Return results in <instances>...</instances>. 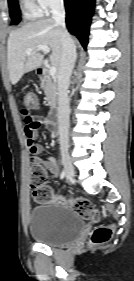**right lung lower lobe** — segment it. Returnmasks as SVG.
<instances>
[{
  "instance_id": "right-lung-lower-lobe-1",
  "label": "right lung lower lobe",
  "mask_w": 134,
  "mask_h": 281,
  "mask_svg": "<svg viewBox=\"0 0 134 281\" xmlns=\"http://www.w3.org/2000/svg\"><path fill=\"white\" fill-rule=\"evenodd\" d=\"M64 2L68 30L78 37L86 49L95 0H64Z\"/></svg>"
}]
</instances>
